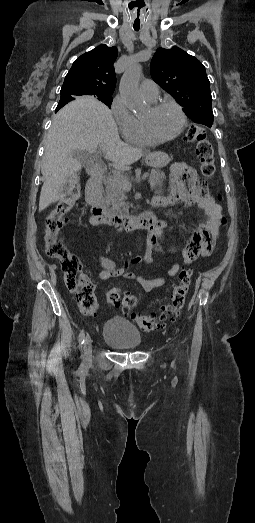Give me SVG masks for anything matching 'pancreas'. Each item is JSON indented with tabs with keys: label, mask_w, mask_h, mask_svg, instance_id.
<instances>
[{
	"label": "pancreas",
	"mask_w": 255,
	"mask_h": 523,
	"mask_svg": "<svg viewBox=\"0 0 255 523\" xmlns=\"http://www.w3.org/2000/svg\"><path fill=\"white\" fill-rule=\"evenodd\" d=\"M137 172V170H136ZM150 186L152 190H155V194H160L163 186V180L165 174L160 172V170H154L149 176ZM126 180L129 182V176L127 174H112V176H107L104 184L106 188V208L111 214L115 216H122L124 212L128 214V208L125 200L127 198L122 184Z\"/></svg>",
	"instance_id": "cf45deb5"
}]
</instances>
